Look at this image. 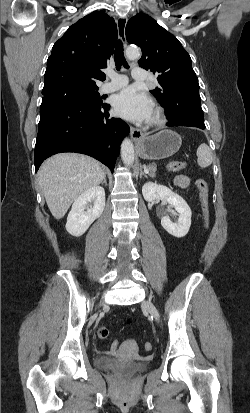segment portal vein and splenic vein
<instances>
[{"label": "portal vein and splenic vein", "instance_id": "1", "mask_svg": "<svg viewBox=\"0 0 250 413\" xmlns=\"http://www.w3.org/2000/svg\"><path fill=\"white\" fill-rule=\"evenodd\" d=\"M145 171H146V172H149V170H148L147 168H145Z\"/></svg>", "mask_w": 250, "mask_h": 413}]
</instances>
